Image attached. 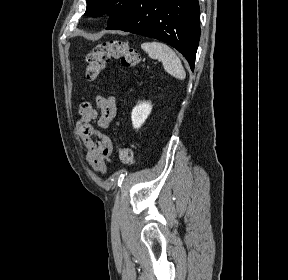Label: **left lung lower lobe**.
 Returning <instances> with one entry per match:
<instances>
[{"label": "left lung lower lobe", "instance_id": "obj_1", "mask_svg": "<svg viewBox=\"0 0 288 280\" xmlns=\"http://www.w3.org/2000/svg\"><path fill=\"white\" fill-rule=\"evenodd\" d=\"M198 0H135L108 30L161 40L177 49L194 69L200 38Z\"/></svg>", "mask_w": 288, "mask_h": 280}]
</instances>
